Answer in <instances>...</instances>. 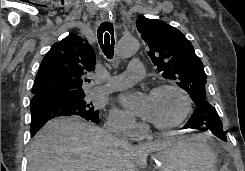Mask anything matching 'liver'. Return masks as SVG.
I'll list each match as a JSON object with an SVG mask.
<instances>
[{
  "instance_id": "liver-1",
  "label": "liver",
  "mask_w": 245,
  "mask_h": 171,
  "mask_svg": "<svg viewBox=\"0 0 245 171\" xmlns=\"http://www.w3.org/2000/svg\"><path fill=\"white\" fill-rule=\"evenodd\" d=\"M173 134L133 146L77 117L49 121L35 136L27 171H139L150 153L170 146Z\"/></svg>"
}]
</instances>
